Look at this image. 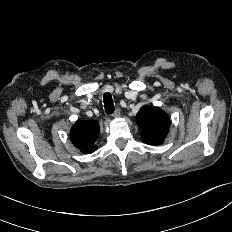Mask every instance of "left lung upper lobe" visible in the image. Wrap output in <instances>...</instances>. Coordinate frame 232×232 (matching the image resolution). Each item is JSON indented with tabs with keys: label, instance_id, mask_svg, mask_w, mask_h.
<instances>
[{
	"label": "left lung upper lobe",
	"instance_id": "1",
	"mask_svg": "<svg viewBox=\"0 0 232 232\" xmlns=\"http://www.w3.org/2000/svg\"><path fill=\"white\" fill-rule=\"evenodd\" d=\"M141 128V139L151 145H160L169 132V116L159 107H144L136 116Z\"/></svg>",
	"mask_w": 232,
	"mask_h": 232
}]
</instances>
